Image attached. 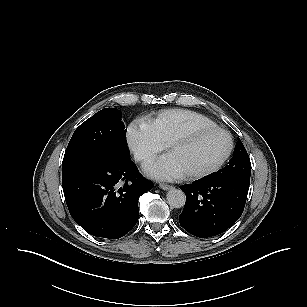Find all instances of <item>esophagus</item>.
<instances>
[{"label": "esophagus", "mask_w": 307, "mask_h": 307, "mask_svg": "<svg viewBox=\"0 0 307 307\" xmlns=\"http://www.w3.org/2000/svg\"><path fill=\"white\" fill-rule=\"evenodd\" d=\"M159 187L163 190H169V189H172L173 187L168 185V184H163V183H160L159 184Z\"/></svg>", "instance_id": "esophagus-1"}]
</instances>
